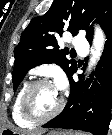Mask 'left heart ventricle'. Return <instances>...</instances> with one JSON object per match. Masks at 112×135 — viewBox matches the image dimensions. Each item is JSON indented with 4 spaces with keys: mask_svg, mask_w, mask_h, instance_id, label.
I'll list each match as a JSON object with an SVG mask.
<instances>
[{
    "mask_svg": "<svg viewBox=\"0 0 112 135\" xmlns=\"http://www.w3.org/2000/svg\"><path fill=\"white\" fill-rule=\"evenodd\" d=\"M59 102L60 93L53 84L37 87L31 96L34 111L41 115L52 112Z\"/></svg>",
    "mask_w": 112,
    "mask_h": 135,
    "instance_id": "obj_1",
    "label": "left heart ventricle"
}]
</instances>
